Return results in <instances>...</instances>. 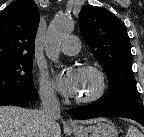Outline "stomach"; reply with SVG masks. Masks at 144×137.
Masks as SVG:
<instances>
[{
  "label": "stomach",
  "mask_w": 144,
  "mask_h": 137,
  "mask_svg": "<svg viewBox=\"0 0 144 137\" xmlns=\"http://www.w3.org/2000/svg\"><path fill=\"white\" fill-rule=\"evenodd\" d=\"M76 137H118L115 127L106 122L98 121L90 126H80L73 129Z\"/></svg>",
  "instance_id": "0dacf381"
}]
</instances>
